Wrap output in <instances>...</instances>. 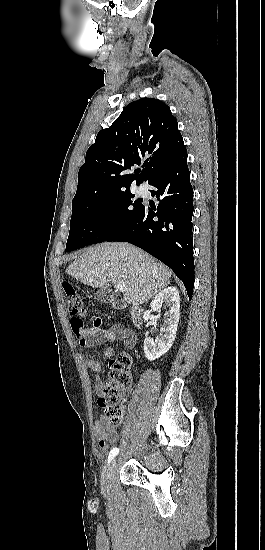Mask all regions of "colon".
<instances>
[{
    "label": "colon",
    "instance_id": "colon-1",
    "mask_svg": "<svg viewBox=\"0 0 265 550\" xmlns=\"http://www.w3.org/2000/svg\"><path fill=\"white\" fill-rule=\"evenodd\" d=\"M63 290L67 309L72 317L73 329H81L84 327V319L87 316L84 298L71 283H64ZM101 323V320L94 319V328H99ZM131 364V356L126 352L120 353L109 364L110 372L103 386L99 405L103 419L110 427L120 426L124 420L125 396L133 383Z\"/></svg>",
    "mask_w": 265,
    "mask_h": 550
}]
</instances>
